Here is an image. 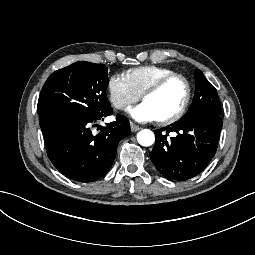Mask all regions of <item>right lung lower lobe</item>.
<instances>
[{"label": "right lung lower lobe", "mask_w": 255, "mask_h": 255, "mask_svg": "<svg viewBox=\"0 0 255 255\" xmlns=\"http://www.w3.org/2000/svg\"><path fill=\"white\" fill-rule=\"evenodd\" d=\"M91 123L95 121L59 126L45 138L52 164L79 182L103 177L113 164L118 142L131 133L128 119L119 114L116 121L106 123V126L95 124L98 134L92 133Z\"/></svg>", "instance_id": "right-lung-lower-lobe-1"}]
</instances>
